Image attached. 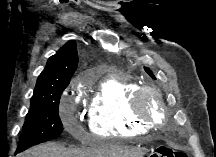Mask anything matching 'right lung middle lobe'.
<instances>
[{
	"instance_id": "obj_1",
	"label": "right lung middle lobe",
	"mask_w": 216,
	"mask_h": 157,
	"mask_svg": "<svg viewBox=\"0 0 216 157\" xmlns=\"http://www.w3.org/2000/svg\"><path fill=\"white\" fill-rule=\"evenodd\" d=\"M64 89L35 102L31 101L16 152H22L62 133L63 125L59 117V100Z\"/></svg>"
}]
</instances>
